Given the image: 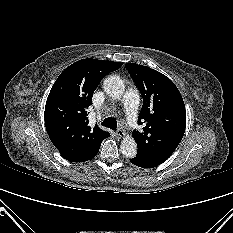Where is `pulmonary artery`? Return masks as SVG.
I'll use <instances>...</instances> for the list:
<instances>
[{"label":"pulmonary artery","mask_w":233,"mask_h":233,"mask_svg":"<svg viewBox=\"0 0 233 233\" xmlns=\"http://www.w3.org/2000/svg\"><path fill=\"white\" fill-rule=\"evenodd\" d=\"M122 101L126 110L129 125L132 128H136V117L139 103L137 92L133 89H129L123 96Z\"/></svg>","instance_id":"obj_1"}]
</instances>
